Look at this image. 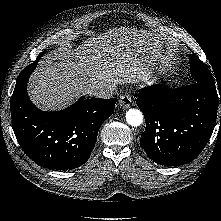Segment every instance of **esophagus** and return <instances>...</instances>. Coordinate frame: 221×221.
<instances>
[{"instance_id": "34e87169", "label": "esophagus", "mask_w": 221, "mask_h": 221, "mask_svg": "<svg viewBox=\"0 0 221 221\" xmlns=\"http://www.w3.org/2000/svg\"><path fill=\"white\" fill-rule=\"evenodd\" d=\"M132 104V100L128 95H123L119 99V106L122 109H128Z\"/></svg>"}]
</instances>
